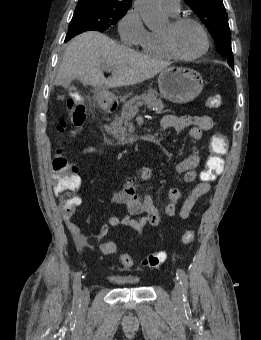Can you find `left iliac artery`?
Segmentation results:
<instances>
[{
	"instance_id": "left-iliac-artery-1",
	"label": "left iliac artery",
	"mask_w": 261,
	"mask_h": 340,
	"mask_svg": "<svg viewBox=\"0 0 261 340\" xmlns=\"http://www.w3.org/2000/svg\"><path fill=\"white\" fill-rule=\"evenodd\" d=\"M177 279L180 281L183 293V302L188 304L187 291H188V277L184 270L177 269L176 271Z\"/></svg>"
}]
</instances>
